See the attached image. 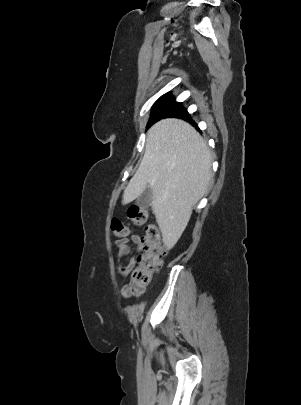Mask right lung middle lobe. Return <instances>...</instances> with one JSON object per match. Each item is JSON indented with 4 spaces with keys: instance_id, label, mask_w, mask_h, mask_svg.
Returning a JSON list of instances; mask_svg holds the SVG:
<instances>
[{
    "instance_id": "dd1d6c3e",
    "label": "right lung middle lobe",
    "mask_w": 301,
    "mask_h": 405,
    "mask_svg": "<svg viewBox=\"0 0 301 405\" xmlns=\"http://www.w3.org/2000/svg\"><path fill=\"white\" fill-rule=\"evenodd\" d=\"M185 113L187 111L182 106V103L175 102L170 95H164L154 104L147 128L162 118L179 116Z\"/></svg>"
}]
</instances>
